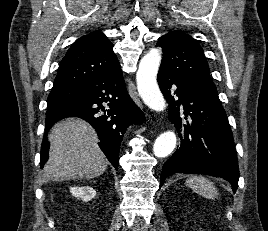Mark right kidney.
Instances as JSON below:
<instances>
[{"label":"right kidney","instance_id":"ca27d5eb","mask_svg":"<svg viewBox=\"0 0 268 231\" xmlns=\"http://www.w3.org/2000/svg\"><path fill=\"white\" fill-rule=\"evenodd\" d=\"M70 193L78 199H81L82 201H90L96 196V191L89 186H83V187H71Z\"/></svg>","mask_w":268,"mask_h":231}]
</instances>
